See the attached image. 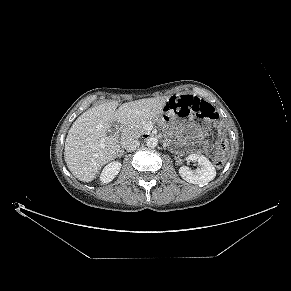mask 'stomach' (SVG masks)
Here are the masks:
<instances>
[{
	"label": "stomach",
	"instance_id": "0dacf381",
	"mask_svg": "<svg viewBox=\"0 0 291 291\" xmlns=\"http://www.w3.org/2000/svg\"><path fill=\"white\" fill-rule=\"evenodd\" d=\"M171 119H173V116L169 113H162L160 115H158L157 117H155L153 119L154 122L156 123H160V124H165L168 121H170ZM190 124L194 125L192 122H190ZM195 135H200V130L198 128L195 127Z\"/></svg>",
	"mask_w": 291,
	"mask_h": 291
}]
</instances>
